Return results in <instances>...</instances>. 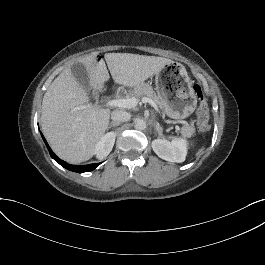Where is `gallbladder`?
<instances>
[{
    "instance_id": "obj_1",
    "label": "gallbladder",
    "mask_w": 265,
    "mask_h": 265,
    "mask_svg": "<svg viewBox=\"0 0 265 265\" xmlns=\"http://www.w3.org/2000/svg\"><path fill=\"white\" fill-rule=\"evenodd\" d=\"M72 71L77 79V81L83 85L84 87L87 86V74L84 67L80 64L73 65Z\"/></svg>"
}]
</instances>
